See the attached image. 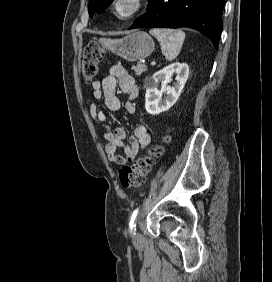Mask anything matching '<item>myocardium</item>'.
<instances>
[{
  "instance_id": "1",
  "label": "myocardium",
  "mask_w": 272,
  "mask_h": 282,
  "mask_svg": "<svg viewBox=\"0 0 272 282\" xmlns=\"http://www.w3.org/2000/svg\"><path fill=\"white\" fill-rule=\"evenodd\" d=\"M130 3V10L126 14L120 12V7L125 3ZM144 8V0H114L112 9L115 15L121 20H131L137 17Z\"/></svg>"
}]
</instances>
